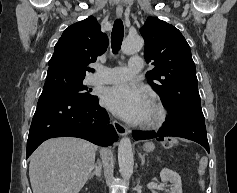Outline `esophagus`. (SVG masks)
I'll return each instance as SVG.
<instances>
[{
  "mask_svg": "<svg viewBox=\"0 0 237 193\" xmlns=\"http://www.w3.org/2000/svg\"><path fill=\"white\" fill-rule=\"evenodd\" d=\"M116 14L118 17H121L123 14V7L122 6H118L116 8ZM113 125L114 128L116 130V132L118 133V135L120 136H125L128 134V130L125 126H123L121 123H119L118 121H113Z\"/></svg>",
  "mask_w": 237,
  "mask_h": 193,
  "instance_id": "esophagus-1",
  "label": "esophagus"
}]
</instances>
